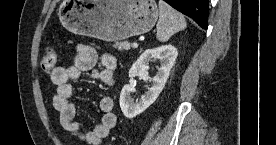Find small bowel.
<instances>
[{
  "label": "small bowel",
  "instance_id": "obj_1",
  "mask_svg": "<svg viewBox=\"0 0 276 145\" xmlns=\"http://www.w3.org/2000/svg\"><path fill=\"white\" fill-rule=\"evenodd\" d=\"M96 65V50L88 45L79 44L75 49L73 64L57 66L50 73V80L56 86L53 106L59 114L60 124L71 136L79 138L87 145H100L117 123L114 100L110 96L101 97L99 108L103 113L102 121L93 130L84 131L82 123L76 120L77 105L71 101L74 88L70 81L79 79L84 73L89 72L107 87H111L115 82L114 71L117 61L114 56L105 54L101 57L98 68Z\"/></svg>",
  "mask_w": 276,
  "mask_h": 145
}]
</instances>
